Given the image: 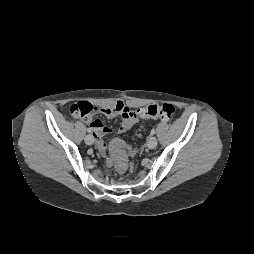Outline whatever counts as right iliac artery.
Here are the masks:
<instances>
[{"label": "right iliac artery", "mask_w": 254, "mask_h": 254, "mask_svg": "<svg viewBox=\"0 0 254 254\" xmlns=\"http://www.w3.org/2000/svg\"><path fill=\"white\" fill-rule=\"evenodd\" d=\"M87 131H88V132H91V129H90V128H88V129H87Z\"/></svg>", "instance_id": "obj_1"}]
</instances>
